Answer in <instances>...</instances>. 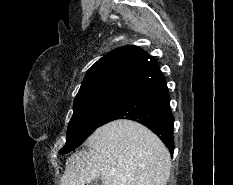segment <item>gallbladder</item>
<instances>
[{"mask_svg":"<svg viewBox=\"0 0 233 185\" xmlns=\"http://www.w3.org/2000/svg\"><path fill=\"white\" fill-rule=\"evenodd\" d=\"M87 185H103V182H102L101 178H98L96 180H93L91 183H89Z\"/></svg>","mask_w":233,"mask_h":185,"instance_id":"1","label":"gallbladder"}]
</instances>
